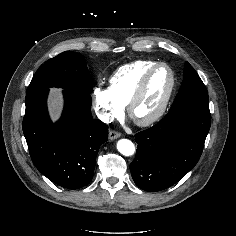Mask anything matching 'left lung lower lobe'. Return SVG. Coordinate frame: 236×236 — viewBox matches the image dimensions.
Returning <instances> with one entry per match:
<instances>
[{"instance_id":"left-lung-lower-lobe-1","label":"left lung lower lobe","mask_w":236,"mask_h":236,"mask_svg":"<svg viewBox=\"0 0 236 236\" xmlns=\"http://www.w3.org/2000/svg\"><path fill=\"white\" fill-rule=\"evenodd\" d=\"M210 125L209 110L183 107L136 134L137 152L130 164L136 185L157 192L182 179L199 161Z\"/></svg>"}]
</instances>
